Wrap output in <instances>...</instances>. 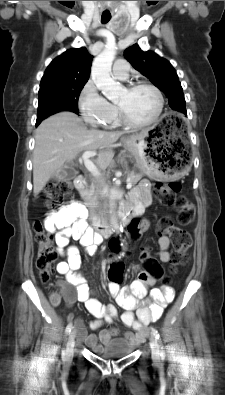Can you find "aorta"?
Listing matches in <instances>:
<instances>
[{"instance_id": "obj_1", "label": "aorta", "mask_w": 225, "mask_h": 395, "mask_svg": "<svg viewBox=\"0 0 225 395\" xmlns=\"http://www.w3.org/2000/svg\"><path fill=\"white\" fill-rule=\"evenodd\" d=\"M116 55V47L114 45H107L105 49L94 59L91 68V77L96 87L109 100L119 98L122 87L119 82H116L111 77V67ZM119 190L112 188L110 193V213L114 212L116 206V199ZM111 225L117 233L123 232L121 226L114 215L111 216Z\"/></svg>"}]
</instances>
